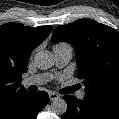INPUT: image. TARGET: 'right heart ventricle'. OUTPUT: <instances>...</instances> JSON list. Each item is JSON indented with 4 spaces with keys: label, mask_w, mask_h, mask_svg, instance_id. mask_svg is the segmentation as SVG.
<instances>
[{
    "label": "right heart ventricle",
    "mask_w": 119,
    "mask_h": 119,
    "mask_svg": "<svg viewBox=\"0 0 119 119\" xmlns=\"http://www.w3.org/2000/svg\"><path fill=\"white\" fill-rule=\"evenodd\" d=\"M67 44H65V43H59V44H56L55 46H54V48H59V47H62V46H66Z\"/></svg>",
    "instance_id": "e07e8e85"
}]
</instances>
